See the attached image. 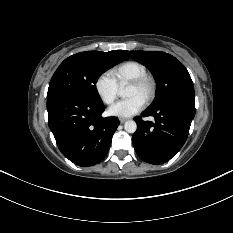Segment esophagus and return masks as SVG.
I'll return each instance as SVG.
<instances>
[{
  "label": "esophagus",
  "instance_id": "1",
  "mask_svg": "<svg viewBox=\"0 0 233 233\" xmlns=\"http://www.w3.org/2000/svg\"><path fill=\"white\" fill-rule=\"evenodd\" d=\"M126 120H127L126 118H119V121H120L121 124H123L124 122H126Z\"/></svg>",
  "mask_w": 233,
  "mask_h": 233
}]
</instances>
